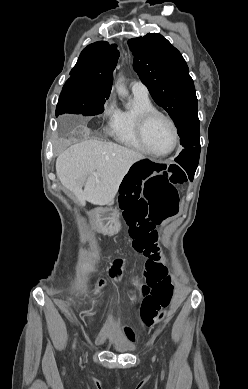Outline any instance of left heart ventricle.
Returning <instances> with one entry per match:
<instances>
[{
    "instance_id": "left-heart-ventricle-1",
    "label": "left heart ventricle",
    "mask_w": 248,
    "mask_h": 389,
    "mask_svg": "<svg viewBox=\"0 0 248 389\" xmlns=\"http://www.w3.org/2000/svg\"><path fill=\"white\" fill-rule=\"evenodd\" d=\"M148 146L155 152L168 151L173 144V134L170 125L161 117H154L145 132Z\"/></svg>"
}]
</instances>
